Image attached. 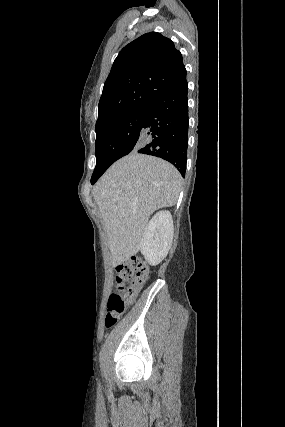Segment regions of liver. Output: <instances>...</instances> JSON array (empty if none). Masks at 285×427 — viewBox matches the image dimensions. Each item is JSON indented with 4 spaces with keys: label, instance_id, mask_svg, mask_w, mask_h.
Listing matches in <instances>:
<instances>
[{
    "label": "liver",
    "instance_id": "1",
    "mask_svg": "<svg viewBox=\"0 0 285 427\" xmlns=\"http://www.w3.org/2000/svg\"><path fill=\"white\" fill-rule=\"evenodd\" d=\"M181 184L182 177L172 164L136 152L104 173L93 196L108 235L113 266L138 253L150 216L176 204Z\"/></svg>",
    "mask_w": 285,
    "mask_h": 427
}]
</instances>
